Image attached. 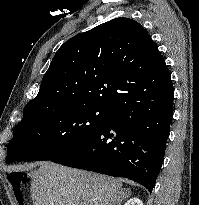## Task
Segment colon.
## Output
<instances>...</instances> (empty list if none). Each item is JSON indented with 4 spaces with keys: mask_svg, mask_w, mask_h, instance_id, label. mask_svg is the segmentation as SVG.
<instances>
[{
    "mask_svg": "<svg viewBox=\"0 0 199 205\" xmlns=\"http://www.w3.org/2000/svg\"><path fill=\"white\" fill-rule=\"evenodd\" d=\"M8 179L14 189V194L23 204L22 186L27 182V175L21 172H13L8 174Z\"/></svg>",
    "mask_w": 199,
    "mask_h": 205,
    "instance_id": "1",
    "label": "colon"
}]
</instances>
